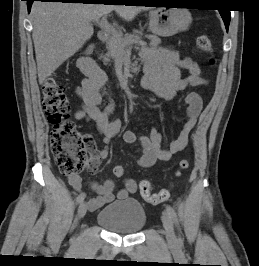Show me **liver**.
<instances>
[{
	"label": "liver",
	"instance_id": "liver-1",
	"mask_svg": "<svg viewBox=\"0 0 259 266\" xmlns=\"http://www.w3.org/2000/svg\"><path fill=\"white\" fill-rule=\"evenodd\" d=\"M145 6L34 2L31 9L38 80L42 84L93 35L91 21L111 11L131 21Z\"/></svg>",
	"mask_w": 259,
	"mask_h": 266
}]
</instances>
